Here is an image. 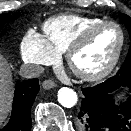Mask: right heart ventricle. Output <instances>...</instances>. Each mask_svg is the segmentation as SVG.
Returning <instances> with one entry per match:
<instances>
[{
    "label": "right heart ventricle",
    "instance_id": "e07e8e85",
    "mask_svg": "<svg viewBox=\"0 0 131 131\" xmlns=\"http://www.w3.org/2000/svg\"><path fill=\"white\" fill-rule=\"evenodd\" d=\"M101 21L103 20L97 17L64 14L45 21L42 29L46 41L60 54L66 52L85 29Z\"/></svg>",
    "mask_w": 131,
    "mask_h": 131
}]
</instances>
